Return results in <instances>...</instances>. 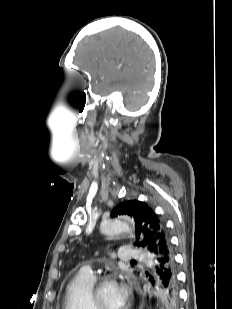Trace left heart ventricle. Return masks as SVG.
<instances>
[{
    "mask_svg": "<svg viewBox=\"0 0 232 309\" xmlns=\"http://www.w3.org/2000/svg\"><path fill=\"white\" fill-rule=\"evenodd\" d=\"M101 306L104 309H125L127 299L122 293V285L118 282H110L103 285L98 292Z\"/></svg>",
    "mask_w": 232,
    "mask_h": 309,
    "instance_id": "1",
    "label": "left heart ventricle"
}]
</instances>
